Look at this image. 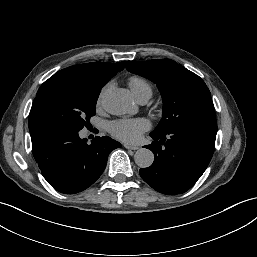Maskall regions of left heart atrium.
<instances>
[{
  "label": "left heart atrium",
  "instance_id": "39dd6f15",
  "mask_svg": "<svg viewBox=\"0 0 257 257\" xmlns=\"http://www.w3.org/2000/svg\"><path fill=\"white\" fill-rule=\"evenodd\" d=\"M150 128V123L144 118L120 119L108 125L109 132L117 139L126 143H135L142 134Z\"/></svg>",
  "mask_w": 257,
  "mask_h": 257
}]
</instances>
